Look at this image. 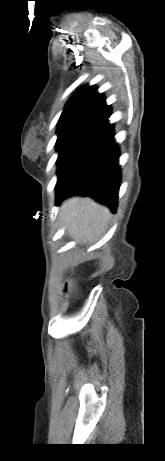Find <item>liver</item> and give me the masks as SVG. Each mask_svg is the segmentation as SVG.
<instances>
[{
	"mask_svg": "<svg viewBox=\"0 0 165 461\" xmlns=\"http://www.w3.org/2000/svg\"><path fill=\"white\" fill-rule=\"evenodd\" d=\"M110 210L87 197H72L60 207V218L69 236L80 244L93 242L105 231Z\"/></svg>",
	"mask_w": 165,
	"mask_h": 461,
	"instance_id": "6515ba94",
	"label": "liver"
}]
</instances>
